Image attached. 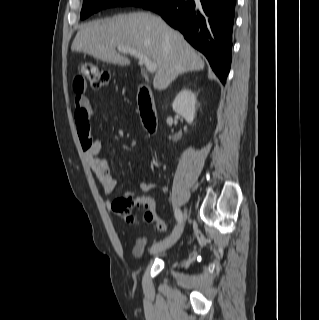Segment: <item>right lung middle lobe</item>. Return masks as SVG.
Here are the masks:
<instances>
[{"mask_svg":"<svg viewBox=\"0 0 319 320\" xmlns=\"http://www.w3.org/2000/svg\"><path fill=\"white\" fill-rule=\"evenodd\" d=\"M152 0H83V7L81 10V19H85L91 14L105 8L115 6H142Z\"/></svg>","mask_w":319,"mask_h":320,"instance_id":"right-lung-middle-lobe-1","label":"right lung middle lobe"}]
</instances>
